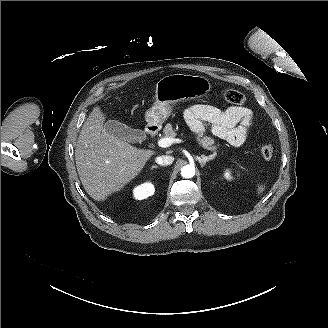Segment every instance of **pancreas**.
I'll use <instances>...</instances> for the list:
<instances>
[{
  "instance_id": "cf45deb5",
  "label": "pancreas",
  "mask_w": 328,
  "mask_h": 328,
  "mask_svg": "<svg viewBox=\"0 0 328 328\" xmlns=\"http://www.w3.org/2000/svg\"><path fill=\"white\" fill-rule=\"evenodd\" d=\"M164 135L173 140L177 136V129L173 128L171 123H168L164 128ZM195 141L198 146L202 147L204 150L212 152L213 159L217 157V150L220 148V144L215 145L212 137L199 133L195 136Z\"/></svg>"
}]
</instances>
